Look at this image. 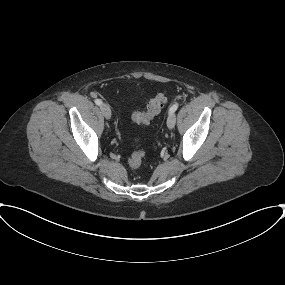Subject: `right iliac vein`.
<instances>
[{
  "label": "right iliac vein",
  "instance_id": "obj_1",
  "mask_svg": "<svg viewBox=\"0 0 285 285\" xmlns=\"http://www.w3.org/2000/svg\"><path fill=\"white\" fill-rule=\"evenodd\" d=\"M101 112L106 119H110L111 117V110L107 104H101L100 106Z\"/></svg>",
  "mask_w": 285,
  "mask_h": 285
}]
</instances>
